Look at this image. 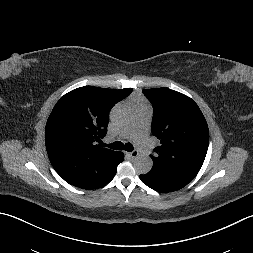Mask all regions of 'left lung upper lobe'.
Returning <instances> with one entry per match:
<instances>
[{
	"mask_svg": "<svg viewBox=\"0 0 253 253\" xmlns=\"http://www.w3.org/2000/svg\"><path fill=\"white\" fill-rule=\"evenodd\" d=\"M152 103V134L160 140L153 169L193 179L199 172L209 143L206 120L188 96L168 88L143 90Z\"/></svg>",
	"mask_w": 253,
	"mask_h": 253,
	"instance_id": "left-lung-upper-lobe-1",
	"label": "left lung upper lobe"
}]
</instances>
